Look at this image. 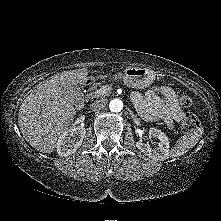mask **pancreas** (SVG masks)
Instances as JSON below:
<instances>
[{
    "label": "pancreas",
    "mask_w": 221,
    "mask_h": 221,
    "mask_svg": "<svg viewBox=\"0 0 221 221\" xmlns=\"http://www.w3.org/2000/svg\"><path fill=\"white\" fill-rule=\"evenodd\" d=\"M103 87V86H102ZM107 89H109L110 87L109 86H106ZM92 90H96V91H91L89 94H88V98L91 99V100H94V98H101L103 99L105 96H108L109 95V91H107L106 93L104 94H98L97 91V86H94L92 87Z\"/></svg>",
    "instance_id": "1"
}]
</instances>
